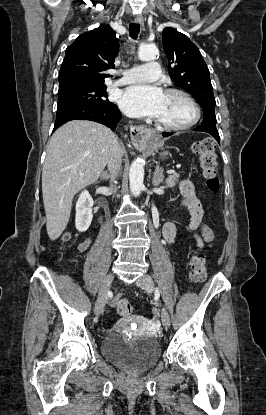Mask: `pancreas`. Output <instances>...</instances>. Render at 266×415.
<instances>
[{
    "label": "pancreas",
    "instance_id": "cf45deb5",
    "mask_svg": "<svg viewBox=\"0 0 266 415\" xmlns=\"http://www.w3.org/2000/svg\"><path fill=\"white\" fill-rule=\"evenodd\" d=\"M179 174H172L166 179V186L167 187H173L176 185V183L179 180Z\"/></svg>",
    "mask_w": 266,
    "mask_h": 415
}]
</instances>
